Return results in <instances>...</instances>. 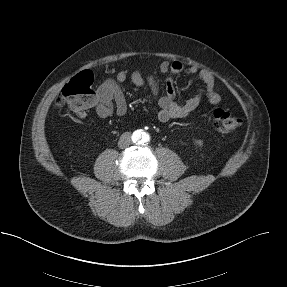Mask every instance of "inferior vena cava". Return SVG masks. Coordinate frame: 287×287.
Segmentation results:
<instances>
[{"instance_id":"602c4592","label":"inferior vena cava","mask_w":287,"mask_h":287,"mask_svg":"<svg viewBox=\"0 0 287 287\" xmlns=\"http://www.w3.org/2000/svg\"><path fill=\"white\" fill-rule=\"evenodd\" d=\"M132 144L131 135L128 132L123 133L118 141L119 148H127Z\"/></svg>"}]
</instances>
